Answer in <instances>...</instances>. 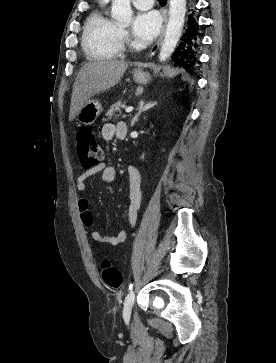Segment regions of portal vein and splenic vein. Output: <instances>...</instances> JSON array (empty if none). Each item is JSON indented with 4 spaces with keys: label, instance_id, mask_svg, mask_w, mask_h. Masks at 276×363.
I'll list each match as a JSON object with an SVG mask.
<instances>
[{
    "label": "portal vein and splenic vein",
    "instance_id": "18ae733b",
    "mask_svg": "<svg viewBox=\"0 0 276 363\" xmlns=\"http://www.w3.org/2000/svg\"><path fill=\"white\" fill-rule=\"evenodd\" d=\"M133 107L132 106H129V107H126L125 108V112H127V113H130V112H132L133 111Z\"/></svg>",
    "mask_w": 276,
    "mask_h": 363
}]
</instances>
